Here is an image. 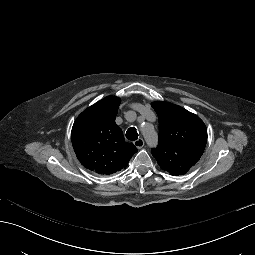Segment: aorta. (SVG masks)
<instances>
[{
  "label": "aorta",
  "instance_id": "aorta-1",
  "mask_svg": "<svg viewBox=\"0 0 255 255\" xmlns=\"http://www.w3.org/2000/svg\"><path fill=\"white\" fill-rule=\"evenodd\" d=\"M142 131L147 144L151 147L155 146L158 141L157 133L147 125L142 128Z\"/></svg>",
  "mask_w": 255,
  "mask_h": 255
}]
</instances>
